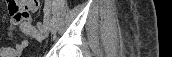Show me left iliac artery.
Listing matches in <instances>:
<instances>
[{"mask_svg":"<svg viewBox=\"0 0 172 57\" xmlns=\"http://www.w3.org/2000/svg\"><path fill=\"white\" fill-rule=\"evenodd\" d=\"M46 3H47V4H51V1H50V0H46Z\"/></svg>","mask_w":172,"mask_h":57,"instance_id":"44dca946","label":"left iliac artery"}]
</instances>
